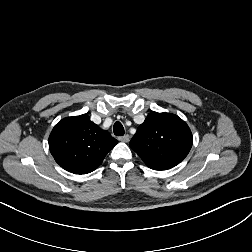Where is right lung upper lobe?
I'll return each mask as SVG.
<instances>
[{
  "instance_id": "cb5924a9",
  "label": "right lung upper lobe",
  "mask_w": 252,
  "mask_h": 252,
  "mask_svg": "<svg viewBox=\"0 0 252 252\" xmlns=\"http://www.w3.org/2000/svg\"><path fill=\"white\" fill-rule=\"evenodd\" d=\"M117 143L108 131L85 114L62 119L49 136V148L55 161L74 174L94 171Z\"/></svg>"
}]
</instances>
